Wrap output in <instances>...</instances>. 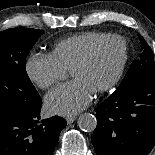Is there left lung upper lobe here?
<instances>
[{
    "mask_svg": "<svg viewBox=\"0 0 155 155\" xmlns=\"http://www.w3.org/2000/svg\"><path fill=\"white\" fill-rule=\"evenodd\" d=\"M138 36L141 42L140 58L132 63L126 76L118 87L119 90L138 85L147 78L155 75V59L152 49L140 34Z\"/></svg>",
    "mask_w": 155,
    "mask_h": 155,
    "instance_id": "left-lung-upper-lobe-1",
    "label": "left lung upper lobe"
}]
</instances>
